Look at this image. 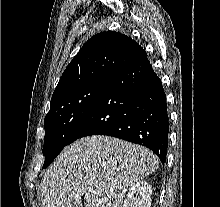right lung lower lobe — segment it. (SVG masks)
<instances>
[{"instance_id": "98d812e1", "label": "right lung lower lobe", "mask_w": 220, "mask_h": 207, "mask_svg": "<svg viewBox=\"0 0 220 207\" xmlns=\"http://www.w3.org/2000/svg\"><path fill=\"white\" fill-rule=\"evenodd\" d=\"M168 131L165 92L146 56L108 79L69 144L89 135H108L146 146L164 163Z\"/></svg>"}]
</instances>
